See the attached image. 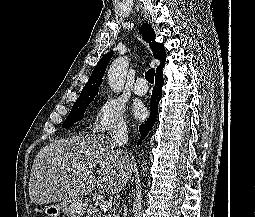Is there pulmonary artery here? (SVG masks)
<instances>
[{
  "label": "pulmonary artery",
  "mask_w": 255,
  "mask_h": 217,
  "mask_svg": "<svg viewBox=\"0 0 255 217\" xmlns=\"http://www.w3.org/2000/svg\"><path fill=\"white\" fill-rule=\"evenodd\" d=\"M145 82L144 78H138L133 86V92L136 95L142 96L145 95L148 91L147 86L143 85Z\"/></svg>",
  "instance_id": "obj_1"
}]
</instances>
